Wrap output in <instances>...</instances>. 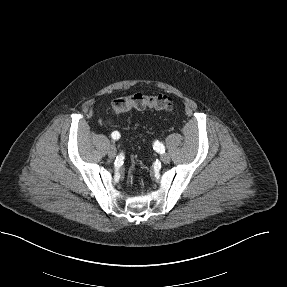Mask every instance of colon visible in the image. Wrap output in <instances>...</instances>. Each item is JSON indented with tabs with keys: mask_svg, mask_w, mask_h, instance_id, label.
Masks as SVG:
<instances>
[{
	"mask_svg": "<svg viewBox=\"0 0 287 287\" xmlns=\"http://www.w3.org/2000/svg\"><path fill=\"white\" fill-rule=\"evenodd\" d=\"M154 108L160 110H171L173 108V99L167 95H145L136 93L129 96H123L113 100L111 109L116 115L123 114L131 109Z\"/></svg>",
	"mask_w": 287,
	"mask_h": 287,
	"instance_id": "obj_1",
	"label": "colon"
}]
</instances>
